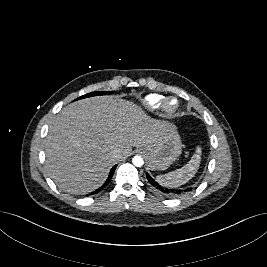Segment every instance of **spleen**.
<instances>
[{"label": "spleen", "mask_w": 267, "mask_h": 267, "mask_svg": "<svg viewBox=\"0 0 267 267\" xmlns=\"http://www.w3.org/2000/svg\"><path fill=\"white\" fill-rule=\"evenodd\" d=\"M201 147H197L191 160L182 168L157 176L158 181L167 187H177L188 182L197 172L201 161Z\"/></svg>", "instance_id": "1"}]
</instances>
